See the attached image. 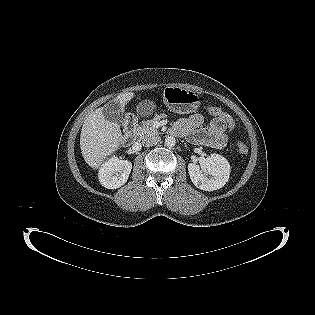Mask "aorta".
Wrapping results in <instances>:
<instances>
[{
	"instance_id": "aorta-1",
	"label": "aorta",
	"mask_w": 315,
	"mask_h": 315,
	"mask_svg": "<svg viewBox=\"0 0 315 315\" xmlns=\"http://www.w3.org/2000/svg\"><path fill=\"white\" fill-rule=\"evenodd\" d=\"M175 144H176V140H175V138L173 136L166 137L165 145L167 147H173V146H175Z\"/></svg>"
}]
</instances>
